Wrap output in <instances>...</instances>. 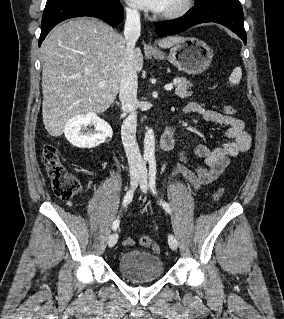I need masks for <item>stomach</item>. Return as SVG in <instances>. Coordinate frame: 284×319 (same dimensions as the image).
Instances as JSON below:
<instances>
[{"label":"stomach","instance_id":"obj_1","mask_svg":"<svg viewBox=\"0 0 284 319\" xmlns=\"http://www.w3.org/2000/svg\"><path fill=\"white\" fill-rule=\"evenodd\" d=\"M173 45L168 56L163 53H152L157 60L167 59L171 64L190 75L202 73L211 64L213 53L211 48L202 40L195 37H181Z\"/></svg>","mask_w":284,"mask_h":319}]
</instances>
